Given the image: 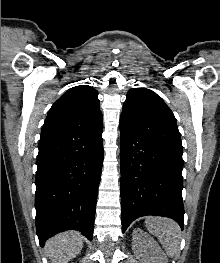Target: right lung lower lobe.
<instances>
[{"instance_id": "98d812e1", "label": "right lung lower lobe", "mask_w": 220, "mask_h": 263, "mask_svg": "<svg viewBox=\"0 0 220 263\" xmlns=\"http://www.w3.org/2000/svg\"><path fill=\"white\" fill-rule=\"evenodd\" d=\"M102 129L73 139L40 140L35 208L41 246L70 229L92 240L103 164Z\"/></svg>"}]
</instances>
